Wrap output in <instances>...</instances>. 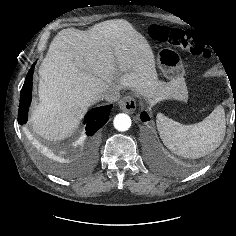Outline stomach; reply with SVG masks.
I'll list each match as a JSON object with an SVG mask.
<instances>
[{
  "label": "stomach",
  "mask_w": 236,
  "mask_h": 236,
  "mask_svg": "<svg viewBox=\"0 0 236 236\" xmlns=\"http://www.w3.org/2000/svg\"><path fill=\"white\" fill-rule=\"evenodd\" d=\"M157 65L167 82L164 84V89L155 96L148 97L150 101L162 103L170 97L167 93L178 91L181 97H187V90L184 86V65L180 55L171 48H162L157 53Z\"/></svg>",
  "instance_id": "obj_1"
}]
</instances>
